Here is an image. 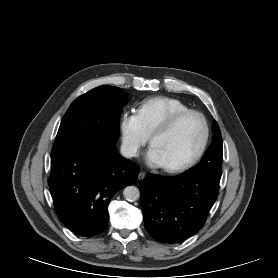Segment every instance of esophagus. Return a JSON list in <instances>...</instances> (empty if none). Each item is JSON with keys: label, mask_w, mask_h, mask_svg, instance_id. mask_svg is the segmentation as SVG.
I'll list each match as a JSON object with an SVG mask.
<instances>
[{"label": "esophagus", "mask_w": 278, "mask_h": 278, "mask_svg": "<svg viewBox=\"0 0 278 278\" xmlns=\"http://www.w3.org/2000/svg\"><path fill=\"white\" fill-rule=\"evenodd\" d=\"M145 176H146V174H145L143 171H141V172L138 174V180L144 179Z\"/></svg>", "instance_id": "esophagus-1"}]
</instances>
